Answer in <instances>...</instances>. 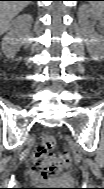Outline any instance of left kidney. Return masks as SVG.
<instances>
[{
  "label": "left kidney",
  "instance_id": "left-kidney-1",
  "mask_svg": "<svg viewBox=\"0 0 104 189\" xmlns=\"http://www.w3.org/2000/svg\"><path fill=\"white\" fill-rule=\"evenodd\" d=\"M87 17H94L100 21H103L104 19L103 8H94L89 5H84L80 11V18L83 24L85 23ZM91 56L94 60H100L103 58V52L102 50L92 51Z\"/></svg>",
  "mask_w": 104,
  "mask_h": 189
}]
</instances>
